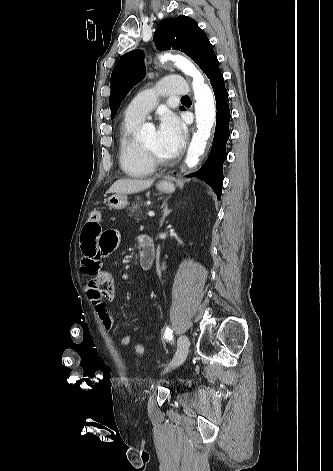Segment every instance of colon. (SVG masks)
Listing matches in <instances>:
<instances>
[{"instance_id": "1", "label": "colon", "mask_w": 333, "mask_h": 471, "mask_svg": "<svg viewBox=\"0 0 333 471\" xmlns=\"http://www.w3.org/2000/svg\"><path fill=\"white\" fill-rule=\"evenodd\" d=\"M100 217V212L98 210H94L90 213L89 220L91 222H98L100 220ZM135 351L137 354L142 355L144 353V346L142 344H136Z\"/></svg>"}]
</instances>
